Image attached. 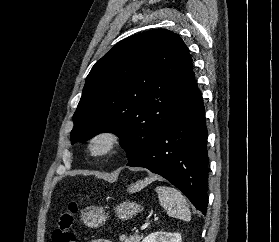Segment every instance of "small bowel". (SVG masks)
<instances>
[{"label":"small bowel","instance_id":"c3829d8e","mask_svg":"<svg viewBox=\"0 0 279 242\" xmlns=\"http://www.w3.org/2000/svg\"><path fill=\"white\" fill-rule=\"evenodd\" d=\"M91 242H112V241L107 240V239H95V240H92Z\"/></svg>","mask_w":279,"mask_h":242}]
</instances>
